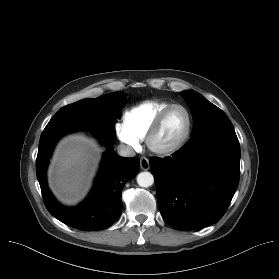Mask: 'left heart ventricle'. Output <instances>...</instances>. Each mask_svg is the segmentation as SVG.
Masks as SVG:
<instances>
[{"mask_svg": "<svg viewBox=\"0 0 279 279\" xmlns=\"http://www.w3.org/2000/svg\"><path fill=\"white\" fill-rule=\"evenodd\" d=\"M186 126L187 117L185 112L181 109H174L163 122L155 138V144L165 147L176 143L184 134Z\"/></svg>", "mask_w": 279, "mask_h": 279, "instance_id": "obj_1", "label": "left heart ventricle"}]
</instances>
